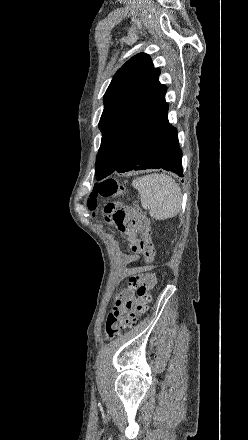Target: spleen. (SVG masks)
I'll return each mask as SVG.
<instances>
[{"mask_svg":"<svg viewBox=\"0 0 248 440\" xmlns=\"http://www.w3.org/2000/svg\"><path fill=\"white\" fill-rule=\"evenodd\" d=\"M138 190L141 205L156 220L176 216L182 206V193L174 179L165 174H150L133 181Z\"/></svg>","mask_w":248,"mask_h":440,"instance_id":"3e777b00","label":"spleen"}]
</instances>
